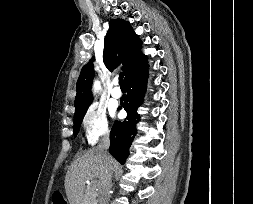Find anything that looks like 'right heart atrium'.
<instances>
[{"instance_id": "obj_1", "label": "right heart atrium", "mask_w": 253, "mask_h": 204, "mask_svg": "<svg viewBox=\"0 0 253 204\" xmlns=\"http://www.w3.org/2000/svg\"><path fill=\"white\" fill-rule=\"evenodd\" d=\"M82 128L89 145H94L101 138L108 136L110 126L106 110L96 104L91 105L83 116Z\"/></svg>"}]
</instances>
